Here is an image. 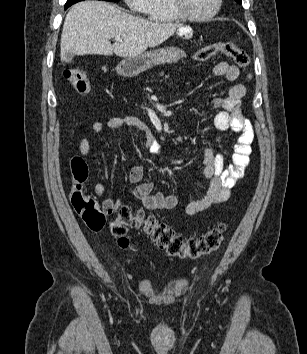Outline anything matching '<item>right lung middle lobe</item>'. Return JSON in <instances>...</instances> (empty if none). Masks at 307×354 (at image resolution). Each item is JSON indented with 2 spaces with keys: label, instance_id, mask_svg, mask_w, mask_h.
<instances>
[{
  "label": "right lung middle lobe",
  "instance_id": "dd1d6c3e",
  "mask_svg": "<svg viewBox=\"0 0 307 354\" xmlns=\"http://www.w3.org/2000/svg\"><path fill=\"white\" fill-rule=\"evenodd\" d=\"M79 1H83V0H67V2L65 4V9H67L69 6H71L72 4L79 2ZM105 1L118 2L119 0H105Z\"/></svg>",
  "mask_w": 307,
  "mask_h": 354
}]
</instances>
